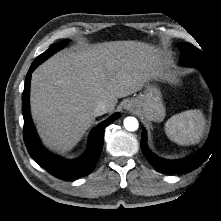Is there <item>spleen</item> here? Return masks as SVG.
Returning <instances> with one entry per match:
<instances>
[{
    "label": "spleen",
    "instance_id": "spleen-1",
    "mask_svg": "<svg viewBox=\"0 0 221 221\" xmlns=\"http://www.w3.org/2000/svg\"><path fill=\"white\" fill-rule=\"evenodd\" d=\"M205 118L200 110H187L173 115L165 123L166 135L180 145L195 144L204 132Z\"/></svg>",
    "mask_w": 221,
    "mask_h": 221
}]
</instances>
